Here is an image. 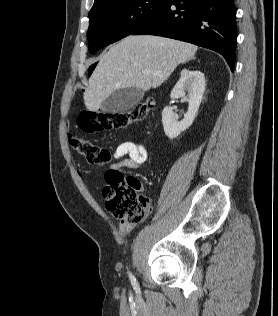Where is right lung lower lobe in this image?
Listing matches in <instances>:
<instances>
[{
    "instance_id": "98d812e1",
    "label": "right lung lower lobe",
    "mask_w": 278,
    "mask_h": 316,
    "mask_svg": "<svg viewBox=\"0 0 278 316\" xmlns=\"http://www.w3.org/2000/svg\"><path fill=\"white\" fill-rule=\"evenodd\" d=\"M131 35H157L212 49L235 65L236 9L233 0H165Z\"/></svg>"
}]
</instances>
